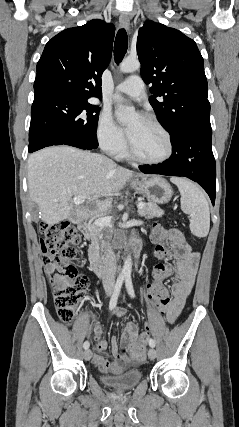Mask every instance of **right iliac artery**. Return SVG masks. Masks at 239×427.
Returning a JSON list of instances; mask_svg holds the SVG:
<instances>
[{
  "mask_svg": "<svg viewBox=\"0 0 239 427\" xmlns=\"http://www.w3.org/2000/svg\"><path fill=\"white\" fill-rule=\"evenodd\" d=\"M123 281H124L123 276H119L117 278V281H116V284L114 287V291H113L112 297H111L110 302H109V309L110 310H113L117 304L118 296H119ZM83 347H84V349H88L89 348V342L85 341L83 344Z\"/></svg>",
  "mask_w": 239,
  "mask_h": 427,
  "instance_id": "obj_1",
  "label": "right iliac artery"
}]
</instances>
